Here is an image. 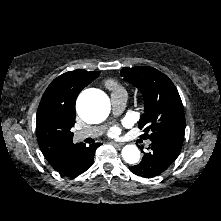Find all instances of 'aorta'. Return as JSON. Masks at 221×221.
I'll return each instance as SVG.
<instances>
[{
  "label": "aorta",
  "mask_w": 221,
  "mask_h": 221,
  "mask_svg": "<svg viewBox=\"0 0 221 221\" xmlns=\"http://www.w3.org/2000/svg\"><path fill=\"white\" fill-rule=\"evenodd\" d=\"M110 110L107 97L99 93L81 95L77 101V112L86 122H98L105 119ZM122 157L129 164H136L140 159L139 149L128 144L122 149Z\"/></svg>",
  "instance_id": "762f6f07"
}]
</instances>
